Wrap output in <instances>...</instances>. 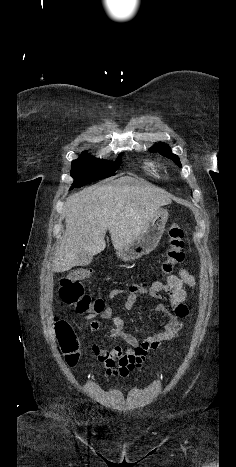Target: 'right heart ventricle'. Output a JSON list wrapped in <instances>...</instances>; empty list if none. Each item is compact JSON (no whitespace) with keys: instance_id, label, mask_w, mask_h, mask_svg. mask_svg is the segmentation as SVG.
<instances>
[{"instance_id":"e07e8e85","label":"right heart ventricle","mask_w":236,"mask_h":467,"mask_svg":"<svg viewBox=\"0 0 236 467\" xmlns=\"http://www.w3.org/2000/svg\"><path fill=\"white\" fill-rule=\"evenodd\" d=\"M150 166H151V169H152L154 172H156V167H155L153 164H151Z\"/></svg>"}]
</instances>
